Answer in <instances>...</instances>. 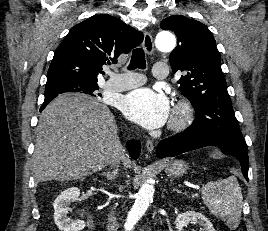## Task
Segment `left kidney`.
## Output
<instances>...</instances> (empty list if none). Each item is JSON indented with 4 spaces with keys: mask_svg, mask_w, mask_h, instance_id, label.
<instances>
[{
    "mask_svg": "<svg viewBox=\"0 0 268 231\" xmlns=\"http://www.w3.org/2000/svg\"><path fill=\"white\" fill-rule=\"evenodd\" d=\"M190 222L198 223L200 226H202V231H215L208 218H206L203 214L192 210L178 214L175 220L177 231H183L184 227H186Z\"/></svg>",
    "mask_w": 268,
    "mask_h": 231,
    "instance_id": "left-kidney-1",
    "label": "left kidney"
}]
</instances>
